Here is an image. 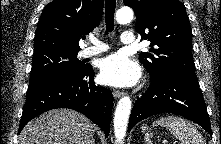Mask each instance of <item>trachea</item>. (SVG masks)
<instances>
[{"label": "trachea", "instance_id": "1", "mask_svg": "<svg viewBox=\"0 0 221 144\" xmlns=\"http://www.w3.org/2000/svg\"><path fill=\"white\" fill-rule=\"evenodd\" d=\"M115 7H116V0H106L105 3L106 34H108V32L113 31L114 29Z\"/></svg>", "mask_w": 221, "mask_h": 144}]
</instances>
